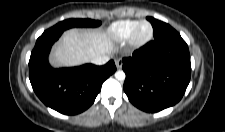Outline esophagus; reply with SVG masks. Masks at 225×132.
<instances>
[{
  "instance_id": "34e87169",
  "label": "esophagus",
  "mask_w": 225,
  "mask_h": 132,
  "mask_svg": "<svg viewBox=\"0 0 225 132\" xmlns=\"http://www.w3.org/2000/svg\"><path fill=\"white\" fill-rule=\"evenodd\" d=\"M115 65L118 69L122 67V59L118 58L115 60Z\"/></svg>"
}]
</instances>
